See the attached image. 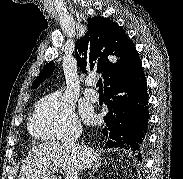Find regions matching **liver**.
I'll use <instances>...</instances> for the list:
<instances>
[{
	"label": "liver",
	"instance_id": "1",
	"mask_svg": "<svg viewBox=\"0 0 183 179\" xmlns=\"http://www.w3.org/2000/svg\"><path fill=\"white\" fill-rule=\"evenodd\" d=\"M101 160L100 154L86 146H76V150L65 149L61 143L46 142L34 146L24 159L19 179H57L50 171L61 168L65 179H79L78 162L91 168Z\"/></svg>",
	"mask_w": 183,
	"mask_h": 179
}]
</instances>
